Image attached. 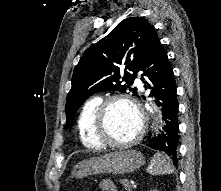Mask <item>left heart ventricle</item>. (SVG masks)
<instances>
[{
	"label": "left heart ventricle",
	"mask_w": 221,
	"mask_h": 191,
	"mask_svg": "<svg viewBox=\"0 0 221 191\" xmlns=\"http://www.w3.org/2000/svg\"><path fill=\"white\" fill-rule=\"evenodd\" d=\"M140 119L135 109L125 102L113 103L108 112V133L113 141H127L138 131Z\"/></svg>",
	"instance_id": "obj_1"
}]
</instances>
